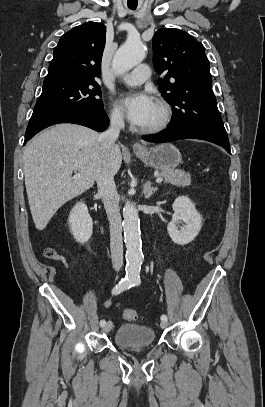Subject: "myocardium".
<instances>
[{"instance_id": "1", "label": "myocardium", "mask_w": 265, "mask_h": 407, "mask_svg": "<svg viewBox=\"0 0 265 407\" xmlns=\"http://www.w3.org/2000/svg\"><path fill=\"white\" fill-rule=\"evenodd\" d=\"M156 105L160 109V118L152 126L140 128L139 131L141 133H145V134L158 133V132L164 130L171 122L173 113H172V108L169 105V103L163 99H157Z\"/></svg>"}]
</instances>
